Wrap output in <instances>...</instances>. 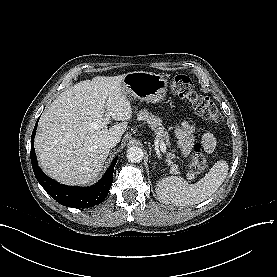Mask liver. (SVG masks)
I'll use <instances>...</instances> for the list:
<instances>
[{
    "label": "liver",
    "instance_id": "liver-1",
    "mask_svg": "<svg viewBox=\"0 0 277 277\" xmlns=\"http://www.w3.org/2000/svg\"><path fill=\"white\" fill-rule=\"evenodd\" d=\"M124 76L76 83L42 114L34 145L47 175L67 185H86L98 178L110 152L106 139L114 136L120 141L132 117L122 90ZM111 118L121 122L108 128Z\"/></svg>",
    "mask_w": 277,
    "mask_h": 277
}]
</instances>
